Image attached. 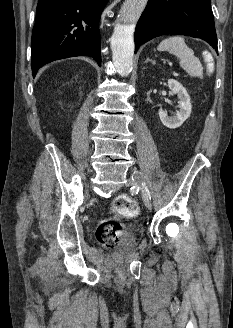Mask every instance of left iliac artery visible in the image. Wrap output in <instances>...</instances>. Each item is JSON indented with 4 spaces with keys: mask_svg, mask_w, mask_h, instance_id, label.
<instances>
[{
    "mask_svg": "<svg viewBox=\"0 0 233 328\" xmlns=\"http://www.w3.org/2000/svg\"><path fill=\"white\" fill-rule=\"evenodd\" d=\"M141 189H142V192H143V193H144L149 199H151L150 191H149V189L147 188V186H146L145 183H142Z\"/></svg>",
    "mask_w": 233,
    "mask_h": 328,
    "instance_id": "obj_1",
    "label": "left iliac artery"
}]
</instances>
